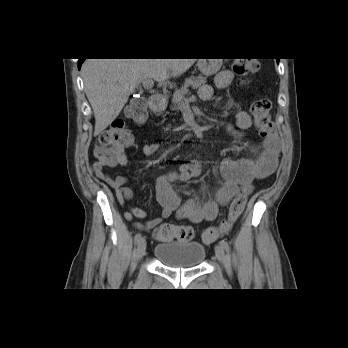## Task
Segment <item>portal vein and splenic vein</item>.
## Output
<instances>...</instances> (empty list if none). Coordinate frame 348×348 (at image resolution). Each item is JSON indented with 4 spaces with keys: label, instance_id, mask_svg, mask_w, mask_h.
<instances>
[{
    "label": "portal vein and splenic vein",
    "instance_id": "obj_1",
    "mask_svg": "<svg viewBox=\"0 0 348 348\" xmlns=\"http://www.w3.org/2000/svg\"><path fill=\"white\" fill-rule=\"evenodd\" d=\"M153 85H154V82L152 79H147L143 81L144 88L150 89L153 87Z\"/></svg>",
    "mask_w": 348,
    "mask_h": 348
}]
</instances>
